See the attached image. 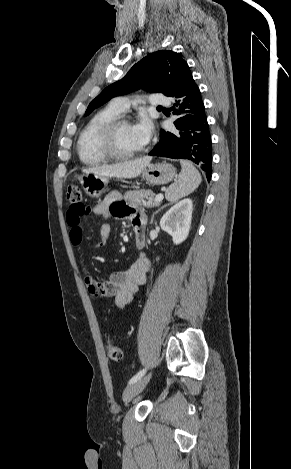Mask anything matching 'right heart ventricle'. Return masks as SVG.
Here are the masks:
<instances>
[{
  "mask_svg": "<svg viewBox=\"0 0 291 469\" xmlns=\"http://www.w3.org/2000/svg\"><path fill=\"white\" fill-rule=\"evenodd\" d=\"M121 114L111 104L97 111L83 127L77 140V153L80 161L88 166H96L108 161L100 145L103 127Z\"/></svg>",
  "mask_w": 291,
  "mask_h": 469,
  "instance_id": "e07e8e85",
  "label": "right heart ventricle"
}]
</instances>
